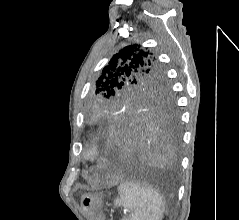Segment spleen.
Segmentation results:
<instances>
[{"label": "spleen", "instance_id": "3e777b00", "mask_svg": "<svg viewBox=\"0 0 239 220\" xmlns=\"http://www.w3.org/2000/svg\"><path fill=\"white\" fill-rule=\"evenodd\" d=\"M114 203L129 211L122 220H162L165 211L163 198L156 190L130 181L118 186Z\"/></svg>", "mask_w": 239, "mask_h": 220}]
</instances>
